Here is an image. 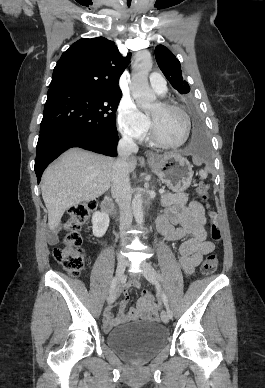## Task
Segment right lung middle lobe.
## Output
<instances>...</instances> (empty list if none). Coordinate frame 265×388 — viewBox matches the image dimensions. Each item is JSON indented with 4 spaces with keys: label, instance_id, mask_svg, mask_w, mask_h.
Masks as SVG:
<instances>
[{
    "label": "right lung middle lobe",
    "instance_id": "1",
    "mask_svg": "<svg viewBox=\"0 0 265 388\" xmlns=\"http://www.w3.org/2000/svg\"><path fill=\"white\" fill-rule=\"evenodd\" d=\"M121 97L120 89L47 94L40 133L79 127L107 136L118 135L115 112Z\"/></svg>",
    "mask_w": 265,
    "mask_h": 388
}]
</instances>
